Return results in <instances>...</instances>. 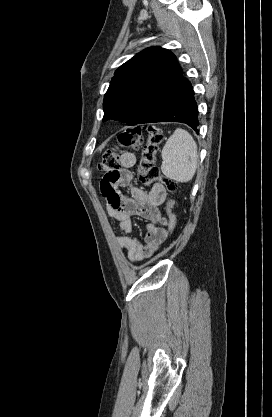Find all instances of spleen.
Wrapping results in <instances>:
<instances>
[{
	"label": "spleen",
	"mask_w": 272,
	"mask_h": 417,
	"mask_svg": "<svg viewBox=\"0 0 272 417\" xmlns=\"http://www.w3.org/2000/svg\"><path fill=\"white\" fill-rule=\"evenodd\" d=\"M162 173L177 182H188L195 175L197 144L186 130L177 128L162 149Z\"/></svg>",
	"instance_id": "obj_1"
}]
</instances>
